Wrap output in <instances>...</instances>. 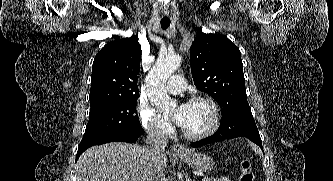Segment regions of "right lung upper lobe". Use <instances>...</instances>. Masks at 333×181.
<instances>
[{
	"instance_id": "obj_1",
	"label": "right lung upper lobe",
	"mask_w": 333,
	"mask_h": 181,
	"mask_svg": "<svg viewBox=\"0 0 333 181\" xmlns=\"http://www.w3.org/2000/svg\"><path fill=\"white\" fill-rule=\"evenodd\" d=\"M140 60L141 46L134 35L106 44L93 62L91 107L138 98Z\"/></svg>"
}]
</instances>
